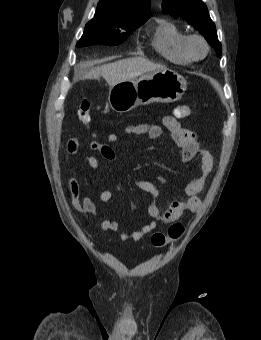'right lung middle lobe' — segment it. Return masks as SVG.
Segmentation results:
<instances>
[{
    "mask_svg": "<svg viewBox=\"0 0 261 340\" xmlns=\"http://www.w3.org/2000/svg\"><path fill=\"white\" fill-rule=\"evenodd\" d=\"M145 22L146 19L116 20L95 14L94 18L86 24L84 33L76 46L118 45Z\"/></svg>",
    "mask_w": 261,
    "mask_h": 340,
    "instance_id": "right-lung-middle-lobe-1",
    "label": "right lung middle lobe"
}]
</instances>
